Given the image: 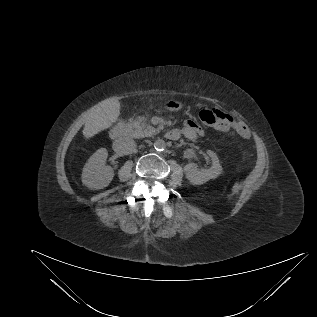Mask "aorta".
<instances>
[{
    "instance_id": "aorta-1",
    "label": "aorta",
    "mask_w": 317,
    "mask_h": 317,
    "mask_svg": "<svg viewBox=\"0 0 317 317\" xmlns=\"http://www.w3.org/2000/svg\"><path fill=\"white\" fill-rule=\"evenodd\" d=\"M166 147V143L164 140L162 139H157L155 142H154V148L158 151H163Z\"/></svg>"
}]
</instances>
